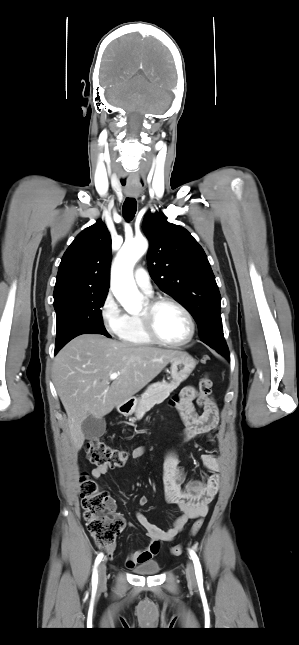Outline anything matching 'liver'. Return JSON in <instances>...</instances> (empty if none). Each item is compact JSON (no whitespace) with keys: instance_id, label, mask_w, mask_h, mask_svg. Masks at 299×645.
Returning a JSON list of instances; mask_svg holds the SVG:
<instances>
[{"instance_id":"6515ba94","label":"liver","mask_w":299,"mask_h":645,"mask_svg":"<svg viewBox=\"0 0 299 645\" xmlns=\"http://www.w3.org/2000/svg\"><path fill=\"white\" fill-rule=\"evenodd\" d=\"M183 352L137 346L99 334H83L56 355L52 377L68 416L72 445L84 443L83 421L97 419L128 401ZM112 373L120 375L110 380Z\"/></svg>"}]
</instances>
